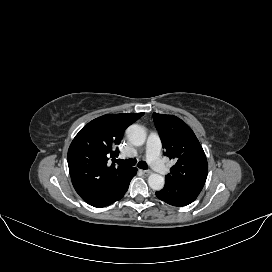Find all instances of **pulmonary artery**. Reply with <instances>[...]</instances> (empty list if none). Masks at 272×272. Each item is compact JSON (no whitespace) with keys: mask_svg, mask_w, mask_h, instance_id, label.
Masks as SVG:
<instances>
[{"mask_svg":"<svg viewBox=\"0 0 272 272\" xmlns=\"http://www.w3.org/2000/svg\"><path fill=\"white\" fill-rule=\"evenodd\" d=\"M161 140L159 136L155 133H151L148 137L147 146H146V155L148 163L155 171L162 175L169 173V168L162 161L161 154Z\"/></svg>","mask_w":272,"mask_h":272,"instance_id":"e3ab8cb5","label":"pulmonary artery"}]
</instances>
